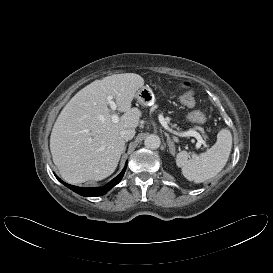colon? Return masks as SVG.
Returning <instances> with one entry per match:
<instances>
[{"instance_id": "5ec220e1", "label": "colon", "mask_w": 273, "mask_h": 273, "mask_svg": "<svg viewBox=\"0 0 273 273\" xmlns=\"http://www.w3.org/2000/svg\"><path fill=\"white\" fill-rule=\"evenodd\" d=\"M181 87L183 89V92L179 96L180 102L187 107H192L195 104V97H194V92L190 86L189 83L184 82L181 84ZM188 118L190 121L194 123H203L205 122L206 118L203 113L199 111H192L189 115Z\"/></svg>"}]
</instances>
